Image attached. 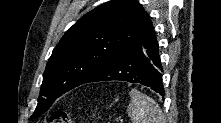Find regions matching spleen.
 <instances>
[{
    "label": "spleen",
    "mask_w": 221,
    "mask_h": 123,
    "mask_svg": "<svg viewBox=\"0 0 221 123\" xmlns=\"http://www.w3.org/2000/svg\"><path fill=\"white\" fill-rule=\"evenodd\" d=\"M129 96L128 116L132 123H163L162 111L152 98L136 89H131Z\"/></svg>",
    "instance_id": "3e777b00"
}]
</instances>
